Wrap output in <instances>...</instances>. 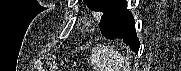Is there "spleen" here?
Masks as SVG:
<instances>
[{"label": "spleen", "instance_id": "obj_1", "mask_svg": "<svg viewBox=\"0 0 181 71\" xmlns=\"http://www.w3.org/2000/svg\"><path fill=\"white\" fill-rule=\"evenodd\" d=\"M91 64L96 71H129V62L108 46L99 45L93 49Z\"/></svg>", "mask_w": 181, "mask_h": 71}]
</instances>
